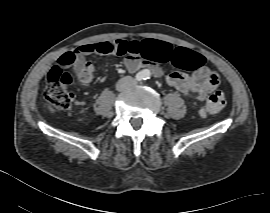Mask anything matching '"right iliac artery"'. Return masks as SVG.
Returning a JSON list of instances; mask_svg holds the SVG:
<instances>
[{
    "mask_svg": "<svg viewBox=\"0 0 270 213\" xmlns=\"http://www.w3.org/2000/svg\"><path fill=\"white\" fill-rule=\"evenodd\" d=\"M144 78H145V76L142 75V74H140V73H138V74L135 76V80H136V81H141V80H143Z\"/></svg>",
    "mask_w": 270,
    "mask_h": 213,
    "instance_id": "82829eb1",
    "label": "right iliac artery"
}]
</instances>
